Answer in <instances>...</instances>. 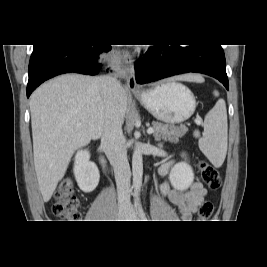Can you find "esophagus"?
Masks as SVG:
<instances>
[{
	"label": "esophagus",
	"mask_w": 267,
	"mask_h": 267,
	"mask_svg": "<svg viewBox=\"0 0 267 267\" xmlns=\"http://www.w3.org/2000/svg\"><path fill=\"white\" fill-rule=\"evenodd\" d=\"M123 60L126 64L130 65V68H124L121 71V76L126 80L127 87L132 91H141V87L137 84L134 72L132 71L133 57L130 52H123Z\"/></svg>",
	"instance_id": "obj_1"
}]
</instances>
